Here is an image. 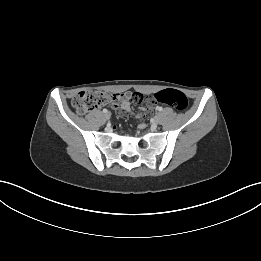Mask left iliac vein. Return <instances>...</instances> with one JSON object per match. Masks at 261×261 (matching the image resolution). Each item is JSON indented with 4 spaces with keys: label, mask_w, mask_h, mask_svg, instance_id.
<instances>
[{
    "label": "left iliac vein",
    "mask_w": 261,
    "mask_h": 261,
    "mask_svg": "<svg viewBox=\"0 0 261 261\" xmlns=\"http://www.w3.org/2000/svg\"><path fill=\"white\" fill-rule=\"evenodd\" d=\"M153 123L156 124V125L161 123L160 115H156V116L154 117Z\"/></svg>",
    "instance_id": "left-iliac-vein-1"
}]
</instances>
